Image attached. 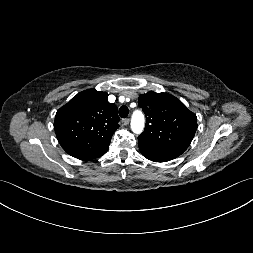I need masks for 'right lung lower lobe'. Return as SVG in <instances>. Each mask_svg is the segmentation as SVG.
<instances>
[{
  "instance_id": "1",
  "label": "right lung lower lobe",
  "mask_w": 253,
  "mask_h": 253,
  "mask_svg": "<svg viewBox=\"0 0 253 253\" xmlns=\"http://www.w3.org/2000/svg\"><path fill=\"white\" fill-rule=\"evenodd\" d=\"M108 148H105L99 152H96V153H93L89 156H86L84 157L82 160H91V159H94V158H97V157H100L102 156L103 154H105L107 152Z\"/></svg>"
}]
</instances>
